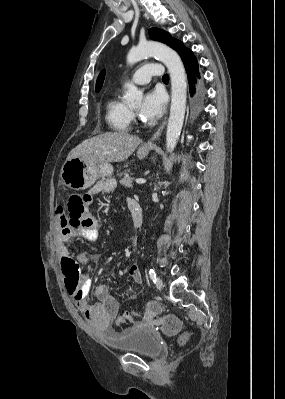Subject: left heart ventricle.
Masks as SVG:
<instances>
[{
  "mask_svg": "<svg viewBox=\"0 0 285 399\" xmlns=\"http://www.w3.org/2000/svg\"><path fill=\"white\" fill-rule=\"evenodd\" d=\"M139 108V105L133 107V110H137Z\"/></svg>",
  "mask_w": 285,
  "mask_h": 399,
  "instance_id": "obj_1",
  "label": "left heart ventricle"
}]
</instances>
